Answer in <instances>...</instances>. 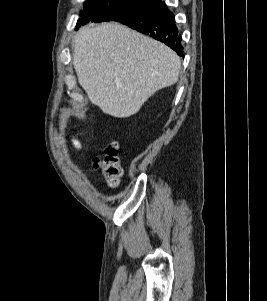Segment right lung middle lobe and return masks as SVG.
I'll use <instances>...</instances> for the list:
<instances>
[{
	"label": "right lung middle lobe",
	"mask_w": 267,
	"mask_h": 301,
	"mask_svg": "<svg viewBox=\"0 0 267 301\" xmlns=\"http://www.w3.org/2000/svg\"><path fill=\"white\" fill-rule=\"evenodd\" d=\"M150 5L147 0H87L77 24L115 20Z\"/></svg>",
	"instance_id": "1"
}]
</instances>
